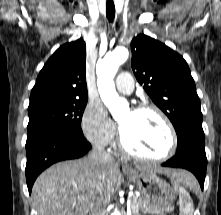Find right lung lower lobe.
Here are the masks:
<instances>
[{
  "instance_id": "1",
  "label": "right lung lower lobe",
  "mask_w": 221,
  "mask_h": 215,
  "mask_svg": "<svg viewBox=\"0 0 221 215\" xmlns=\"http://www.w3.org/2000/svg\"><path fill=\"white\" fill-rule=\"evenodd\" d=\"M91 149L83 135L55 132L27 140L26 181L29 193L37 176L50 165L69 159L80 158Z\"/></svg>"
}]
</instances>
